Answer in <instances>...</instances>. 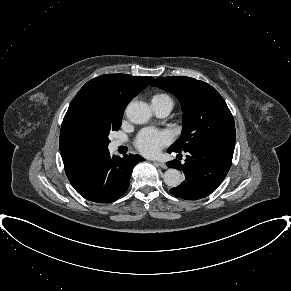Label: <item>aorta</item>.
I'll return each mask as SVG.
<instances>
[{
    "label": "aorta",
    "instance_id": "1",
    "mask_svg": "<svg viewBox=\"0 0 291 291\" xmlns=\"http://www.w3.org/2000/svg\"><path fill=\"white\" fill-rule=\"evenodd\" d=\"M126 116L132 123L144 124L151 118L152 112L147 103L132 102L126 108ZM163 179L170 187H177L183 181L181 172L173 168L165 171Z\"/></svg>",
    "mask_w": 291,
    "mask_h": 291
}]
</instances>
